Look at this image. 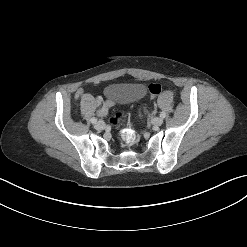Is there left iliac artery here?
I'll return each instance as SVG.
<instances>
[{
  "label": "left iliac artery",
  "mask_w": 247,
  "mask_h": 247,
  "mask_svg": "<svg viewBox=\"0 0 247 247\" xmlns=\"http://www.w3.org/2000/svg\"><path fill=\"white\" fill-rule=\"evenodd\" d=\"M165 116H166L165 112H161V113H160V117H161V118H165Z\"/></svg>",
  "instance_id": "left-iliac-artery-1"
}]
</instances>
